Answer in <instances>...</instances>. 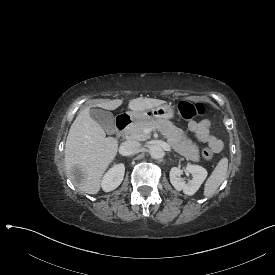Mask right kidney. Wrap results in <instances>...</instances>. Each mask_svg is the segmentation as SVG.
I'll use <instances>...</instances> for the list:
<instances>
[{
    "instance_id": "obj_1",
    "label": "right kidney",
    "mask_w": 275,
    "mask_h": 275,
    "mask_svg": "<svg viewBox=\"0 0 275 275\" xmlns=\"http://www.w3.org/2000/svg\"><path fill=\"white\" fill-rule=\"evenodd\" d=\"M124 174V165H117L113 167L103 179V189L106 192H110L118 188L124 179Z\"/></svg>"
}]
</instances>
